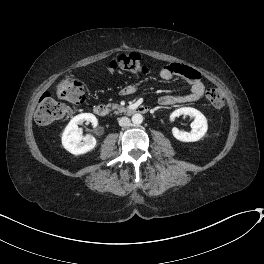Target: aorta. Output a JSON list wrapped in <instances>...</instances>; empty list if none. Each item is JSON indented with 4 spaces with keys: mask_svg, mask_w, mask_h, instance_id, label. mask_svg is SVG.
Here are the masks:
<instances>
[{
    "mask_svg": "<svg viewBox=\"0 0 264 264\" xmlns=\"http://www.w3.org/2000/svg\"><path fill=\"white\" fill-rule=\"evenodd\" d=\"M132 122L134 125H140L143 122V116L139 113L132 116Z\"/></svg>",
    "mask_w": 264,
    "mask_h": 264,
    "instance_id": "762f6f07",
    "label": "aorta"
}]
</instances>
